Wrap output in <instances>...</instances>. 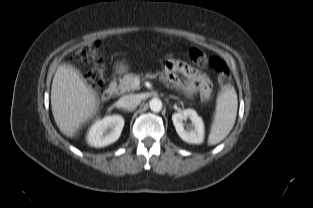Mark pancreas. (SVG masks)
<instances>
[{
    "mask_svg": "<svg viewBox=\"0 0 313 208\" xmlns=\"http://www.w3.org/2000/svg\"><path fill=\"white\" fill-rule=\"evenodd\" d=\"M157 75L158 74H153V75L149 74V75H147V77L156 78ZM136 78H139V76H137L133 73L124 75L123 78L119 80V85H118L115 93L117 95H120V94H124L126 92H129V91L139 90L140 86L134 84V80Z\"/></svg>",
    "mask_w": 313,
    "mask_h": 208,
    "instance_id": "pancreas-1",
    "label": "pancreas"
}]
</instances>
